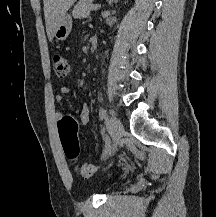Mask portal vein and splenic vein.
I'll return each instance as SVG.
<instances>
[{
  "label": "portal vein and splenic vein",
  "instance_id": "obj_1",
  "mask_svg": "<svg viewBox=\"0 0 216 217\" xmlns=\"http://www.w3.org/2000/svg\"><path fill=\"white\" fill-rule=\"evenodd\" d=\"M100 7H101L100 5H92L91 10H97Z\"/></svg>",
  "mask_w": 216,
  "mask_h": 217
}]
</instances>
